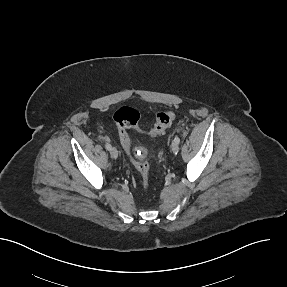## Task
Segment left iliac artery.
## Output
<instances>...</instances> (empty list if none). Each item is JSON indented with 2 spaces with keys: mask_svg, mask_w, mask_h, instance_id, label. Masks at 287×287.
<instances>
[{
  "mask_svg": "<svg viewBox=\"0 0 287 287\" xmlns=\"http://www.w3.org/2000/svg\"><path fill=\"white\" fill-rule=\"evenodd\" d=\"M174 141H175L177 144H179V143H180V138H179V137H175V138H174Z\"/></svg>",
  "mask_w": 287,
  "mask_h": 287,
  "instance_id": "left-iliac-artery-1",
  "label": "left iliac artery"
}]
</instances>
